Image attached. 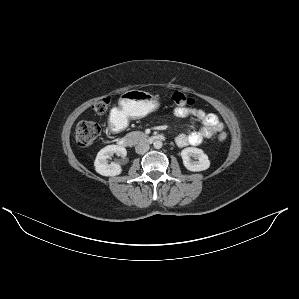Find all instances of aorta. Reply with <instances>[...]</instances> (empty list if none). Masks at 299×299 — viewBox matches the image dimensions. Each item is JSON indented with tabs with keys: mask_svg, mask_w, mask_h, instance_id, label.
<instances>
[{
	"mask_svg": "<svg viewBox=\"0 0 299 299\" xmlns=\"http://www.w3.org/2000/svg\"><path fill=\"white\" fill-rule=\"evenodd\" d=\"M162 142L160 140H156L154 143H153V146L154 148L156 149H160L162 147Z\"/></svg>",
	"mask_w": 299,
	"mask_h": 299,
	"instance_id": "1",
	"label": "aorta"
}]
</instances>
